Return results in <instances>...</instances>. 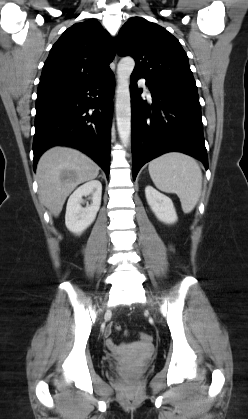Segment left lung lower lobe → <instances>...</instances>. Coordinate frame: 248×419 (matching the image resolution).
<instances>
[{"mask_svg":"<svg viewBox=\"0 0 248 419\" xmlns=\"http://www.w3.org/2000/svg\"><path fill=\"white\" fill-rule=\"evenodd\" d=\"M131 75V136L133 179L148 161L171 151L191 155L208 168L203 137L201 106L197 92L168 90L146 80L152 94L149 106L141 99L137 80Z\"/></svg>","mask_w":248,"mask_h":419,"instance_id":"0a47b994","label":"left lung lower lobe"}]
</instances>
